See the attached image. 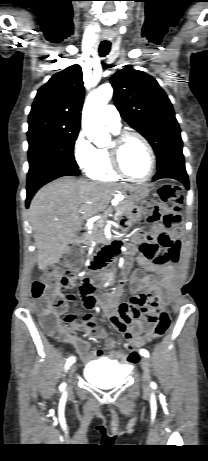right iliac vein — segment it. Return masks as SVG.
<instances>
[{"instance_id": "obj_1", "label": "right iliac vein", "mask_w": 208, "mask_h": 461, "mask_svg": "<svg viewBox=\"0 0 208 461\" xmlns=\"http://www.w3.org/2000/svg\"><path fill=\"white\" fill-rule=\"evenodd\" d=\"M74 371H75V366L74 365L70 366V368L68 370V382H70V378H71Z\"/></svg>"}]
</instances>
